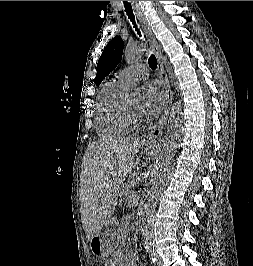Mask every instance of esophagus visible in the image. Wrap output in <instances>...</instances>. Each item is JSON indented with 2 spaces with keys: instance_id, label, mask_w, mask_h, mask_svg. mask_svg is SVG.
Masks as SVG:
<instances>
[{
  "instance_id": "34e87169",
  "label": "esophagus",
  "mask_w": 253,
  "mask_h": 266,
  "mask_svg": "<svg viewBox=\"0 0 253 266\" xmlns=\"http://www.w3.org/2000/svg\"><path fill=\"white\" fill-rule=\"evenodd\" d=\"M133 7L135 9L137 18L143 28V31L150 43L151 49L153 51V53L156 55L157 60H158V73H159V77L163 83V86L165 88L166 91V106L165 109L161 115V117L158 119V121L155 123V125L152 127V129L149 131V133L146 135L145 139H144V143L145 144H152V143H156L157 141L160 140L166 124H167V120H168V116H169V112L171 109V105H172V100H173V91L171 89V85H170V81L167 77V74L164 70V66H163V62L161 59V54H160V49H159V45L151 31V28L147 22V19L140 7V5L138 4L137 1H132Z\"/></svg>"
}]
</instances>
